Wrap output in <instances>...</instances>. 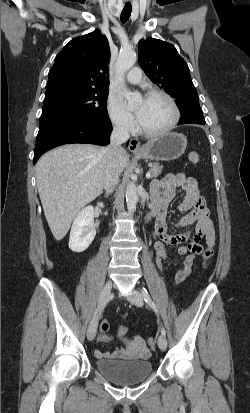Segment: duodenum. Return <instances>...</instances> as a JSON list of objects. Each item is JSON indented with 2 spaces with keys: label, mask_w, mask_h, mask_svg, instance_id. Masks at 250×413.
Here are the masks:
<instances>
[{
  "label": "duodenum",
  "mask_w": 250,
  "mask_h": 413,
  "mask_svg": "<svg viewBox=\"0 0 250 413\" xmlns=\"http://www.w3.org/2000/svg\"><path fill=\"white\" fill-rule=\"evenodd\" d=\"M156 216V212L154 210H152L148 216L149 219L153 218Z\"/></svg>",
  "instance_id": "410a0bca"
}]
</instances>
